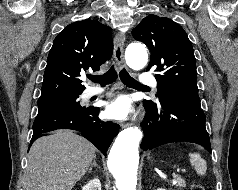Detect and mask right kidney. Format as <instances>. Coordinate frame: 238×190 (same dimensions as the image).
Masks as SVG:
<instances>
[{
    "label": "right kidney",
    "instance_id": "1",
    "mask_svg": "<svg viewBox=\"0 0 238 190\" xmlns=\"http://www.w3.org/2000/svg\"><path fill=\"white\" fill-rule=\"evenodd\" d=\"M82 190H101V183L98 178L90 180Z\"/></svg>",
    "mask_w": 238,
    "mask_h": 190
}]
</instances>
